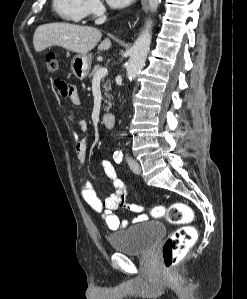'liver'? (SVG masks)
<instances>
[{
	"label": "liver",
	"mask_w": 247,
	"mask_h": 299,
	"mask_svg": "<svg viewBox=\"0 0 247 299\" xmlns=\"http://www.w3.org/2000/svg\"><path fill=\"white\" fill-rule=\"evenodd\" d=\"M101 37V32L95 27L48 23L36 29L33 45L36 52L52 46H60L78 54H86L99 43ZM110 47L111 41L106 38L99 44L98 50H108Z\"/></svg>",
	"instance_id": "6515ba94"
}]
</instances>
